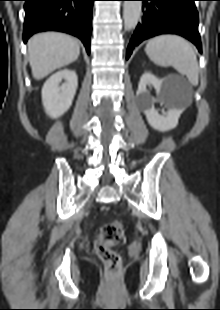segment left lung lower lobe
<instances>
[{"label": "left lung lower lobe", "mask_w": 220, "mask_h": 310, "mask_svg": "<svg viewBox=\"0 0 220 310\" xmlns=\"http://www.w3.org/2000/svg\"><path fill=\"white\" fill-rule=\"evenodd\" d=\"M143 17L137 25L127 49L128 59L142 41L160 34L181 35L196 45L201 52L198 31L199 16L196 0H140Z\"/></svg>", "instance_id": "0a47b994"}]
</instances>
